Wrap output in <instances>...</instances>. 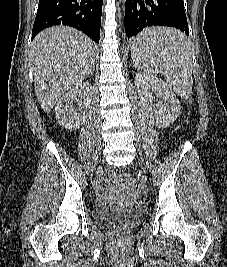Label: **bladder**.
<instances>
[{"label":"bladder","mask_w":227,"mask_h":267,"mask_svg":"<svg viewBox=\"0 0 227 267\" xmlns=\"http://www.w3.org/2000/svg\"><path fill=\"white\" fill-rule=\"evenodd\" d=\"M140 214V210L111 208L97 206L94 208V218L97 222L108 225L113 223L124 222L136 218Z\"/></svg>","instance_id":"obj_1"}]
</instances>
